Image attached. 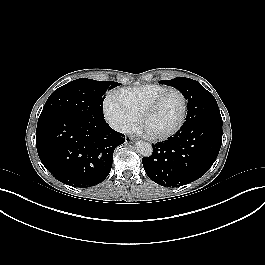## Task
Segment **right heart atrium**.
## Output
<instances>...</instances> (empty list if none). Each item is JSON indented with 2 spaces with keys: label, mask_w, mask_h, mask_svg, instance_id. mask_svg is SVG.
<instances>
[{
  "label": "right heart atrium",
  "mask_w": 265,
  "mask_h": 265,
  "mask_svg": "<svg viewBox=\"0 0 265 265\" xmlns=\"http://www.w3.org/2000/svg\"><path fill=\"white\" fill-rule=\"evenodd\" d=\"M105 120L116 131H131L138 120L137 115L125 103L120 93L112 90L106 93L103 100Z\"/></svg>",
  "instance_id": "right-heart-atrium-1"
}]
</instances>
